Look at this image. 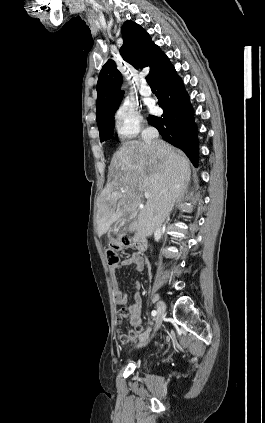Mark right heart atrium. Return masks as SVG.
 <instances>
[{"label":"right heart atrium","mask_w":265,"mask_h":423,"mask_svg":"<svg viewBox=\"0 0 265 423\" xmlns=\"http://www.w3.org/2000/svg\"><path fill=\"white\" fill-rule=\"evenodd\" d=\"M113 122L118 135L129 139L143 127V118L138 107L127 100L119 103L113 114Z\"/></svg>","instance_id":"d8ad5b80"}]
</instances>
